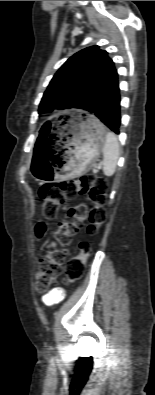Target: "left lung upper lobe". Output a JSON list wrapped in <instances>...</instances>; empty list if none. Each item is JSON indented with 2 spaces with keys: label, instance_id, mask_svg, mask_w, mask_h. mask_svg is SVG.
Listing matches in <instances>:
<instances>
[{
  "label": "left lung upper lobe",
  "instance_id": "5c2ea615",
  "mask_svg": "<svg viewBox=\"0 0 155 395\" xmlns=\"http://www.w3.org/2000/svg\"><path fill=\"white\" fill-rule=\"evenodd\" d=\"M114 69V62L99 46L77 52L52 78L41 100L39 113L79 108L80 103Z\"/></svg>",
  "mask_w": 155,
  "mask_h": 395
}]
</instances>
